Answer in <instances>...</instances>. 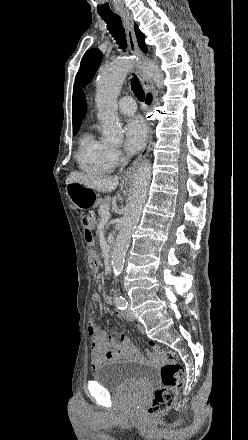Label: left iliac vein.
Segmentation results:
<instances>
[{"instance_id":"obj_1","label":"left iliac vein","mask_w":248,"mask_h":440,"mask_svg":"<svg viewBox=\"0 0 248 440\" xmlns=\"http://www.w3.org/2000/svg\"><path fill=\"white\" fill-rule=\"evenodd\" d=\"M122 316L124 319L129 320V321L134 319V315L131 312V310L129 309V307L122 312Z\"/></svg>"}]
</instances>
